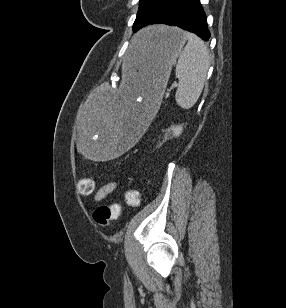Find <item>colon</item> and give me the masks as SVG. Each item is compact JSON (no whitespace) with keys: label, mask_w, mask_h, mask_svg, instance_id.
Wrapping results in <instances>:
<instances>
[{"label":"colon","mask_w":286,"mask_h":308,"mask_svg":"<svg viewBox=\"0 0 286 308\" xmlns=\"http://www.w3.org/2000/svg\"><path fill=\"white\" fill-rule=\"evenodd\" d=\"M78 191L82 194H91L94 190V182L90 178H81L77 183ZM124 201L131 207H137L140 203L139 192L129 188L124 193ZM123 207L120 204L97 207L93 212L95 222L101 226H107L112 220L117 219L122 213Z\"/></svg>","instance_id":"colon-1"}]
</instances>
